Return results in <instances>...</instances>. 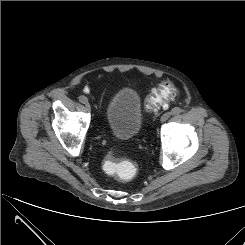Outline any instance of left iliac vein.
Segmentation results:
<instances>
[{"mask_svg": "<svg viewBox=\"0 0 245 245\" xmlns=\"http://www.w3.org/2000/svg\"><path fill=\"white\" fill-rule=\"evenodd\" d=\"M170 117H171V113H170V112H166V113H164V114L162 115L160 121H161V122H165V121H167Z\"/></svg>", "mask_w": 245, "mask_h": 245, "instance_id": "obj_1", "label": "left iliac vein"}]
</instances>
